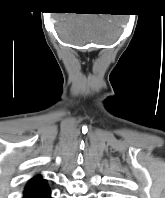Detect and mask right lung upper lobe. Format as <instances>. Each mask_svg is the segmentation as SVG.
I'll use <instances>...</instances> for the list:
<instances>
[{"mask_svg": "<svg viewBox=\"0 0 165 198\" xmlns=\"http://www.w3.org/2000/svg\"><path fill=\"white\" fill-rule=\"evenodd\" d=\"M46 186V180L42 179L41 176L34 177L27 183L24 190V194H28L30 192L36 191Z\"/></svg>", "mask_w": 165, "mask_h": 198, "instance_id": "1", "label": "right lung upper lobe"}]
</instances>
